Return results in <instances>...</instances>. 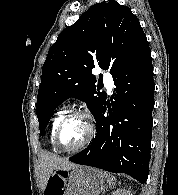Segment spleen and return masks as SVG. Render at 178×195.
Listing matches in <instances>:
<instances>
[{
	"mask_svg": "<svg viewBox=\"0 0 178 195\" xmlns=\"http://www.w3.org/2000/svg\"><path fill=\"white\" fill-rule=\"evenodd\" d=\"M105 177H106V180L107 182L112 185V184H115L116 182V178L108 173H105Z\"/></svg>",
	"mask_w": 178,
	"mask_h": 195,
	"instance_id": "1",
	"label": "spleen"
}]
</instances>
